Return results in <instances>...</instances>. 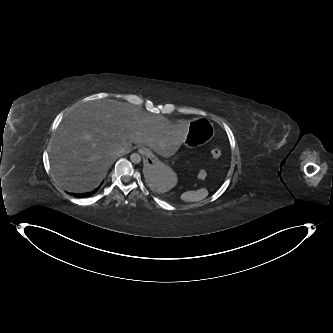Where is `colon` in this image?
Masks as SVG:
<instances>
[{"label": "colon", "mask_w": 333, "mask_h": 333, "mask_svg": "<svg viewBox=\"0 0 333 333\" xmlns=\"http://www.w3.org/2000/svg\"><path fill=\"white\" fill-rule=\"evenodd\" d=\"M221 153H222L221 149L218 146H215L211 150V156H212L213 159H219L220 156H221ZM199 175H200L201 178H204L206 173H205L204 170H202V171H200Z\"/></svg>", "instance_id": "obj_1"}]
</instances>
